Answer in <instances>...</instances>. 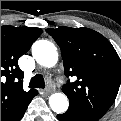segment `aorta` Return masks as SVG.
<instances>
[{"label":"aorta","instance_id":"obj_1","mask_svg":"<svg viewBox=\"0 0 121 121\" xmlns=\"http://www.w3.org/2000/svg\"><path fill=\"white\" fill-rule=\"evenodd\" d=\"M32 55L38 64L45 67H53L58 61V53L55 45L47 40H38L32 46ZM51 109L60 114L68 109L69 102L66 95L54 93L49 98Z\"/></svg>","mask_w":121,"mask_h":121}]
</instances>
